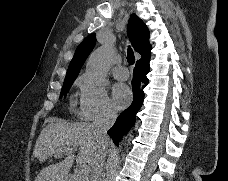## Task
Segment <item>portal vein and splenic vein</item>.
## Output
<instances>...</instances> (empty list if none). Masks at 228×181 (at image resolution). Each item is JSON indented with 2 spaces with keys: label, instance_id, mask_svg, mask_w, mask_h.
I'll return each mask as SVG.
<instances>
[{
  "label": "portal vein and splenic vein",
  "instance_id": "obj_1",
  "mask_svg": "<svg viewBox=\"0 0 228 181\" xmlns=\"http://www.w3.org/2000/svg\"><path fill=\"white\" fill-rule=\"evenodd\" d=\"M65 153H74V149H68V151H65ZM55 157H57V159H60V157H62V155H55ZM78 171H79L80 175H88L89 167H88V165H80ZM81 179H84V177H81Z\"/></svg>",
  "mask_w": 228,
  "mask_h": 181
}]
</instances>
